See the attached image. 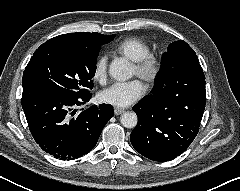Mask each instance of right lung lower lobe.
<instances>
[{
	"label": "right lung lower lobe",
	"mask_w": 240,
	"mask_h": 191,
	"mask_svg": "<svg viewBox=\"0 0 240 191\" xmlns=\"http://www.w3.org/2000/svg\"><path fill=\"white\" fill-rule=\"evenodd\" d=\"M90 98V93L75 96L50 87L23 86L21 104L36 143L60 160H74L90 152L114 115L109 104L76 109Z\"/></svg>",
	"instance_id": "right-lung-lower-lobe-1"
}]
</instances>
